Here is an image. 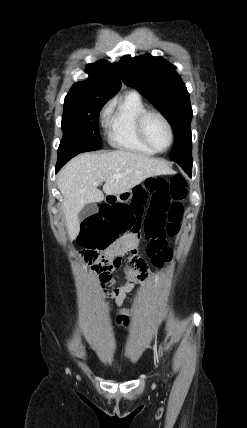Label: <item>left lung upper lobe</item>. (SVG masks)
<instances>
[{
  "mask_svg": "<svg viewBox=\"0 0 247 428\" xmlns=\"http://www.w3.org/2000/svg\"><path fill=\"white\" fill-rule=\"evenodd\" d=\"M119 68L122 81L137 89L171 124L175 143L170 159L175 162L192 161L190 97L174 66L162 57L146 54L134 58L124 56Z\"/></svg>",
  "mask_w": 247,
  "mask_h": 428,
  "instance_id": "obj_1",
  "label": "left lung upper lobe"
}]
</instances>
